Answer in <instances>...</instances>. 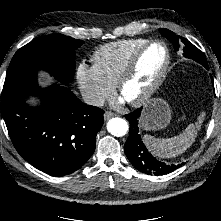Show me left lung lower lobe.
Returning <instances> with one entry per match:
<instances>
[{
  "mask_svg": "<svg viewBox=\"0 0 221 221\" xmlns=\"http://www.w3.org/2000/svg\"><path fill=\"white\" fill-rule=\"evenodd\" d=\"M141 110L142 108H139L125 115V118L130 123L129 137L124 145L127 158L137 170L148 175H164L178 169L182 164L168 165L157 161L146 149L138 129V118Z\"/></svg>",
  "mask_w": 221,
  "mask_h": 221,
  "instance_id": "obj_1",
  "label": "left lung lower lobe"
}]
</instances>
